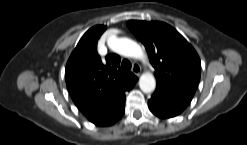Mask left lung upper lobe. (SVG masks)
Instances as JSON below:
<instances>
[{"mask_svg":"<svg viewBox=\"0 0 247 145\" xmlns=\"http://www.w3.org/2000/svg\"><path fill=\"white\" fill-rule=\"evenodd\" d=\"M127 26L144 44L157 84L192 98L200 80L201 62L187 40L163 22L131 20Z\"/></svg>","mask_w":247,"mask_h":145,"instance_id":"obj_1","label":"left lung upper lobe"}]
</instances>
